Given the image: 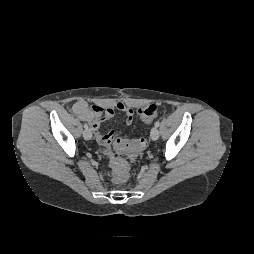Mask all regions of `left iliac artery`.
I'll return each mask as SVG.
<instances>
[{
  "instance_id": "1",
  "label": "left iliac artery",
  "mask_w": 254,
  "mask_h": 254,
  "mask_svg": "<svg viewBox=\"0 0 254 254\" xmlns=\"http://www.w3.org/2000/svg\"><path fill=\"white\" fill-rule=\"evenodd\" d=\"M159 125H160V121L158 120L155 122V127H159Z\"/></svg>"
}]
</instances>
